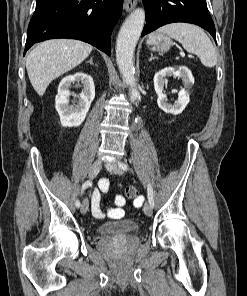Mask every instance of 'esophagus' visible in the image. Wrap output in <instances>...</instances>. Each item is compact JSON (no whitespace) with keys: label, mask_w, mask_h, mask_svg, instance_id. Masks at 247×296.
<instances>
[{"label":"esophagus","mask_w":247,"mask_h":296,"mask_svg":"<svg viewBox=\"0 0 247 296\" xmlns=\"http://www.w3.org/2000/svg\"><path fill=\"white\" fill-rule=\"evenodd\" d=\"M137 5V0H124V8L130 12Z\"/></svg>","instance_id":"34e87169"}]
</instances>
